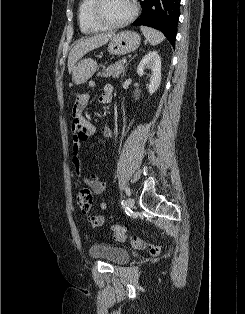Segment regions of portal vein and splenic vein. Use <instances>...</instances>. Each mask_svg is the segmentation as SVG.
I'll list each match as a JSON object with an SVG mask.
<instances>
[{"mask_svg":"<svg viewBox=\"0 0 245 314\" xmlns=\"http://www.w3.org/2000/svg\"><path fill=\"white\" fill-rule=\"evenodd\" d=\"M126 62H127V60H126V59H123V60H122V63H123V64H125Z\"/></svg>","mask_w":245,"mask_h":314,"instance_id":"1","label":"portal vein and splenic vein"}]
</instances>
